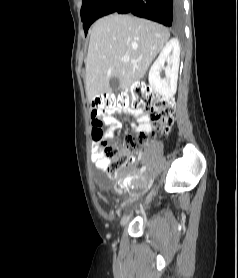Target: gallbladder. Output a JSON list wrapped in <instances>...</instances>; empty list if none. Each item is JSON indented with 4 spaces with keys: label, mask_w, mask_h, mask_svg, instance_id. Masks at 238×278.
Returning <instances> with one entry per match:
<instances>
[{
    "label": "gallbladder",
    "mask_w": 238,
    "mask_h": 278,
    "mask_svg": "<svg viewBox=\"0 0 238 278\" xmlns=\"http://www.w3.org/2000/svg\"><path fill=\"white\" fill-rule=\"evenodd\" d=\"M119 85V80L116 77L110 79V86L116 88Z\"/></svg>",
    "instance_id": "bac80fb5"
}]
</instances>
